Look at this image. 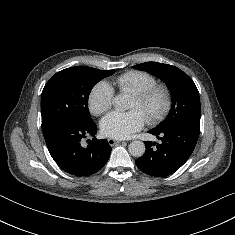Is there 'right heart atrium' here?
<instances>
[{
  "label": "right heart atrium",
  "instance_id": "obj_1",
  "mask_svg": "<svg viewBox=\"0 0 235 235\" xmlns=\"http://www.w3.org/2000/svg\"><path fill=\"white\" fill-rule=\"evenodd\" d=\"M114 102V91L109 83L100 81L91 89L88 96V106L92 114L101 115L108 111Z\"/></svg>",
  "mask_w": 235,
  "mask_h": 235
}]
</instances>
